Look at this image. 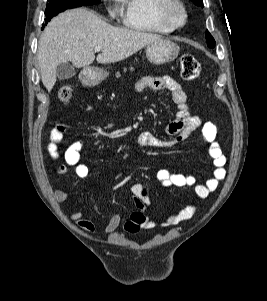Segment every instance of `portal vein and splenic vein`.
Segmentation results:
<instances>
[{
    "label": "portal vein and splenic vein",
    "mask_w": 267,
    "mask_h": 301,
    "mask_svg": "<svg viewBox=\"0 0 267 301\" xmlns=\"http://www.w3.org/2000/svg\"><path fill=\"white\" fill-rule=\"evenodd\" d=\"M101 49H102V48H101L100 46H96V47H95V51H96V52L101 51Z\"/></svg>",
    "instance_id": "obj_1"
}]
</instances>
